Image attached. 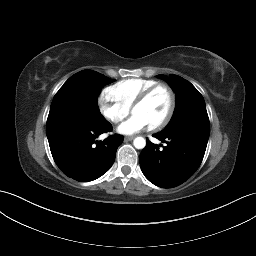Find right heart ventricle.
I'll return each instance as SVG.
<instances>
[{"mask_svg":"<svg viewBox=\"0 0 256 256\" xmlns=\"http://www.w3.org/2000/svg\"><path fill=\"white\" fill-rule=\"evenodd\" d=\"M156 84L158 82L151 79H125L109 87L107 93L125 107L131 108L141 93Z\"/></svg>","mask_w":256,"mask_h":256,"instance_id":"e07e8e85","label":"right heart ventricle"}]
</instances>
